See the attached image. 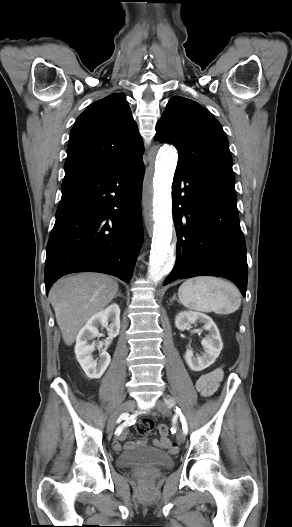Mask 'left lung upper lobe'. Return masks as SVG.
Instances as JSON below:
<instances>
[{
    "label": "left lung upper lobe",
    "instance_id": "1",
    "mask_svg": "<svg viewBox=\"0 0 292 527\" xmlns=\"http://www.w3.org/2000/svg\"><path fill=\"white\" fill-rule=\"evenodd\" d=\"M155 140L173 143L176 170L235 182L228 139L216 118L197 102L173 96L156 126Z\"/></svg>",
    "mask_w": 292,
    "mask_h": 527
}]
</instances>
